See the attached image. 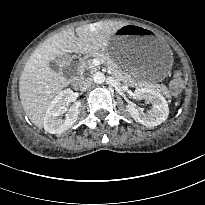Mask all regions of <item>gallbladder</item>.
I'll use <instances>...</instances> for the list:
<instances>
[{
  "label": "gallbladder",
  "instance_id": "bac80fb5",
  "mask_svg": "<svg viewBox=\"0 0 205 205\" xmlns=\"http://www.w3.org/2000/svg\"><path fill=\"white\" fill-rule=\"evenodd\" d=\"M67 61L68 58L66 56H58L49 62V67L55 72L62 71L65 76L69 77L72 72L70 67H68L66 64Z\"/></svg>",
  "mask_w": 205,
  "mask_h": 205
}]
</instances>
